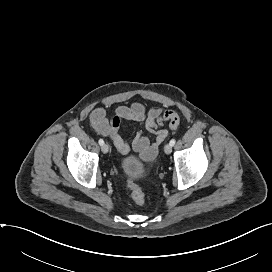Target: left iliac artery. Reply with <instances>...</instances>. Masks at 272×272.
Here are the masks:
<instances>
[{"instance_id":"obj_1","label":"left iliac artery","mask_w":272,"mask_h":272,"mask_svg":"<svg viewBox=\"0 0 272 272\" xmlns=\"http://www.w3.org/2000/svg\"><path fill=\"white\" fill-rule=\"evenodd\" d=\"M175 142H176L175 139H172V140L170 141L169 144H170L171 146H174V145H175Z\"/></svg>"}]
</instances>
